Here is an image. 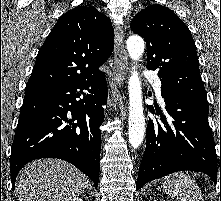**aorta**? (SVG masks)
Here are the masks:
<instances>
[{
    "mask_svg": "<svg viewBox=\"0 0 221 201\" xmlns=\"http://www.w3.org/2000/svg\"><path fill=\"white\" fill-rule=\"evenodd\" d=\"M129 56L132 60H138L144 52V41L139 36H131L126 42ZM129 90V119L128 135L132 148L137 149L144 140L145 118L143 112V97L141 82L137 71L134 69L128 81Z\"/></svg>",
    "mask_w": 221,
    "mask_h": 201,
    "instance_id": "obj_1",
    "label": "aorta"
}]
</instances>
